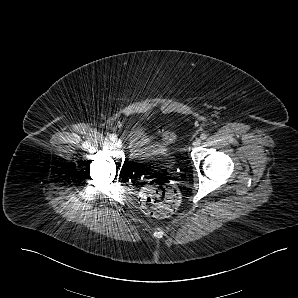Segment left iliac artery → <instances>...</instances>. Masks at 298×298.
Returning a JSON list of instances; mask_svg holds the SVG:
<instances>
[{"instance_id":"obj_1","label":"left iliac artery","mask_w":298,"mask_h":298,"mask_svg":"<svg viewBox=\"0 0 298 298\" xmlns=\"http://www.w3.org/2000/svg\"><path fill=\"white\" fill-rule=\"evenodd\" d=\"M200 138H201L202 140H205V139L207 138V135H206L205 133H203V134H201Z\"/></svg>"}]
</instances>
